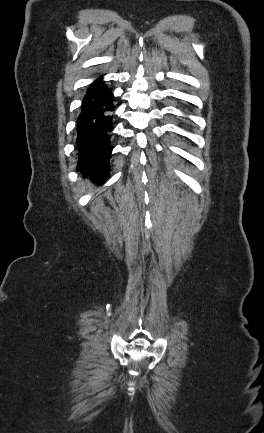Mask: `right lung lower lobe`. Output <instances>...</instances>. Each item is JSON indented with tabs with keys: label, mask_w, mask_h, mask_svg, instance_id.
<instances>
[{
	"label": "right lung lower lobe",
	"mask_w": 264,
	"mask_h": 433,
	"mask_svg": "<svg viewBox=\"0 0 264 433\" xmlns=\"http://www.w3.org/2000/svg\"><path fill=\"white\" fill-rule=\"evenodd\" d=\"M112 92L102 81H94L83 98L81 112L77 119V144L79 149L78 167L91 169L92 177L106 181L109 177V143L114 110Z\"/></svg>",
	"instance_id": "obj_1"
}]
</instances>
